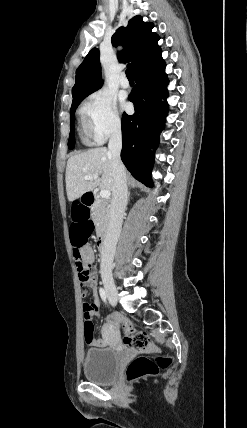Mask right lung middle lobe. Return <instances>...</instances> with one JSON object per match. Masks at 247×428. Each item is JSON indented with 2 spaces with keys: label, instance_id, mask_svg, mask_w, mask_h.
<instances>
[{
  "label": "right lung middle lobe",
  "instance_id": "1",
  "mask_svg": "<svg viewBox=\"0 0 247 428\" xmlns=\"http://www.w3.org/2000/svg\"><path fill=\"white\" fill-rule=\"evenodd\" d=\"M81 101H79V102H77L71 106V110H70V135H69V140H68L69 149H72L74 147V115H75L76 108L78 107V105L80 104Z\"/></svg>",
  "mask_w": 247,
  "mask_h": 428
}]
</instances>
